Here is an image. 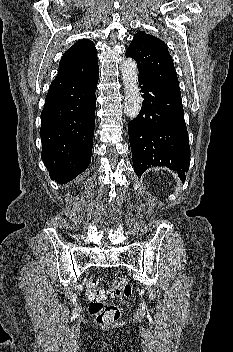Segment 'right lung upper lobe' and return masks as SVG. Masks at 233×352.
<instances>
[{
	"label": "right lung upper lobe",
	"mask_w": 233,
	"mask_h": 352,
	"mask_svg": "<svg viewBox=\"0 0 233 352\" xmlns=\"http://www.w3.org/2000/svg\"><path fill=\"white\" fill-rule=\"evenodd\" d=\"M97 69L99 67L94 43L88 39L79 40L63 54L58 74L50 86L76 81Z\"/></svg>",
	"instance_id": "obj_1"
}]
</instances>
